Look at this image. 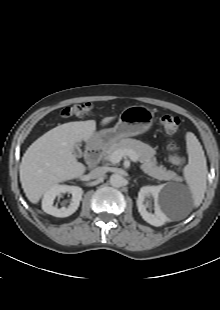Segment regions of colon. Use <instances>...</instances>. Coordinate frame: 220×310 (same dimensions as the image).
Wrapping results in <instances>:
<instances>
[{"label": "colon", "mask_w": 220, "mask_h": 310, "mask_svg": "<svg viewBox=\"0 0 220 310\" xmlns=\"http://www.w3.org/2000/svg\"><path fill=\"white\" fill-rule=\"evenodd\" d=\"M93 106L90 103L76 104L70 107H66L61 111V116L64 118L69 117H84L92 113ZM159 123L165 132L168 134H174L178 131L180 127V118L173 114H164L160 117ZM178 148L176 146L172 147L173 151ZM172 163L181 170L185 164V158L177 154L171 156Z\"/></svg>", "instance_id": "5ec220e1"}]
</instances>
